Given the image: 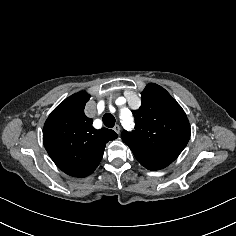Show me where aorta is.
Wrapping results in <instances>:
<instances>
[{
  "instance_id": "1",
  "label": "aorta",
  "mask_w": 236,
  "mask_h": 236,
  "mask_svg": "<svg viewBox=\"0 0 236 236\" xmlns=\"http://www.w3.org/2000/svg\"><path fill=\"white\" fill-rule=\"evenodd\" d=\"M121 119H122L123 127H125V128H132L133 127V118L131 116L130 111L123 110Z\"/></svg>"
}]
</instances>
